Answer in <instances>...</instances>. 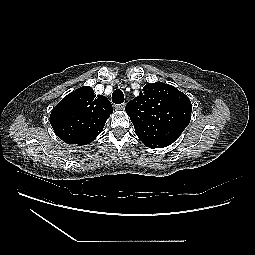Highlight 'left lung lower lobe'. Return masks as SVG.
<instances>
[{"label": "left lung lower lobe", "instance_id": "1", "mask_svg": "<svg viewBox=\"0 0 255 255\" xmlns=\"http://www.w3.org/2000/svg\"><path fill=\"white\" fill-rule=\"evenodd\" d=\"M171 143H168V142H163V143H157V144H152V145H147V147L149 148H164L168 145H170Z\"/></svg>", "mask_w": 255, "mask_h": 255}]
</instances>
